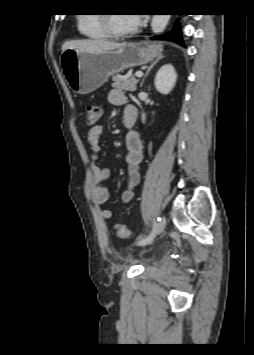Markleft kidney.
Listing matches in <instances>:
<instances>
[{
	"label": "left kidney",
	"instance_id": "1",
	"mask_svg": "<svg viewBox=\"0 0 254 355\" xmlns=\"http://www.w3.org/2000/svg\"><path fill=\"white\" fill-rule=\"evenodd\" d=\"M177 74L174 67L171 64L163 65L155 77V87L160 93L167 95L171 92L175 86Z\"/></svg>",
	"mask_w": 254,
	"mask_h": 355
}]
</instances>
